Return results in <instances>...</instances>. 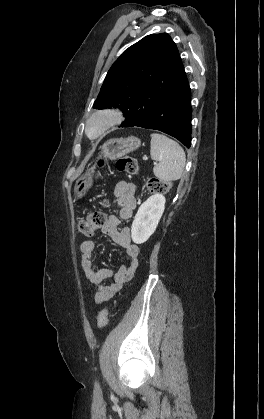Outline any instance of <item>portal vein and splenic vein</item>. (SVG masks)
Masks as SVG:
<instances>
[{"label":"portal vein and splenic vein","instance_id":"1","mask_svg":"<svg viewBox=\"0 0 264 419\" xmlns=\"http://www.w3.org/2000/svg\"><path fill=\"white\" fill-rule=\"evenodd\" d=\"M144 160H147V157L146 156L144 157Z\"/></svg>","mask_w":264,"mask_h":419}]
</instances>
